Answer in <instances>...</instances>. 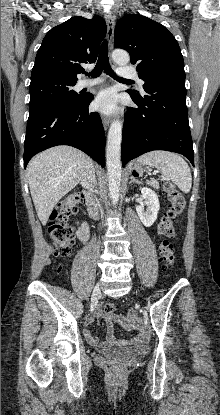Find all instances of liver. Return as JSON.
Segmentation results:
<instances>
[{
  "label": "liver",
  "instance_id": "obj_1",
  "mask_svg": "<svg viewBox=\"0 0 220 415\" xmlns=\"http://www.w3.org/2000/svg\"><path fill=\"white\" fill-rule=\"evenodd\" d=\"M93 162L70 146L47 149L29 162L28 183L39 220L46 225L56 204L90 175Z\"/></svg>",
  "mask_w": 220,
  "mask_h": 415
}]
</instances>
